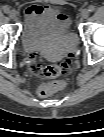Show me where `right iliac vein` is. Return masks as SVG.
<instances>
[{"instance_id":"obj_1","label":"right iliac vein","mask_w":104,"mask_h":137,"mask_svg":"<svg viewBox=\"0 0 104 137\" xmlns=\"http://www.w3.org/2000/svg\"><path fill=\"white\" fill-rule=\"evenodd\" d=\"M9 17L11 19H16L17 17V12L15 10H10L9 13H8Z\"/></svg>"}]
</instances>
